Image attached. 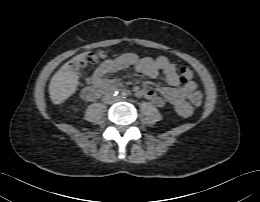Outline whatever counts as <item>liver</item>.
I'll return each mask as SVG.
<instances>
[{"instance_id":"1","label":"liver","mask_w":260,"mask_h":202,"mask_svg":"<svg viewBox=\"0 0 260 202\" xmlns=\"http://www.w3.org/2000/svg\"><path fill=\"white\" fill-rule=\"evenodd\" d=\"M88 55V52L81 53L63 66L54 74L49 84L50 99L54 104H61L72 96L79 85V74L75 72L70 63H79Z\"/></svg>"}]
</instances>
